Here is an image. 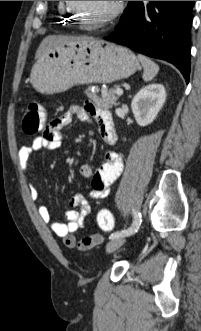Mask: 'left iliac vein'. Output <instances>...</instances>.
<instances>
[{"label":"left iliac vein","instance_id":"left-iliac-vein-1","mask_svg":"<svg viewBox=\"0 0 201 331\" xmlns=\"http://www.w3.org/2000/svg\"><path fill=\"white\" fill-rule=\"evenodd\" d=\"M125 238L124 237H118L112 239L106 246V251L108 253H112L116 251L118 248H120L124 243H125Z\"/></svg>","mask_w":201,"mask_h":331}]
</instances>
